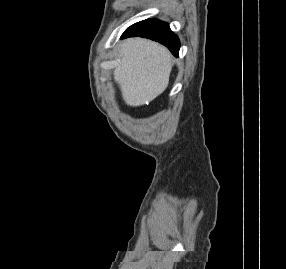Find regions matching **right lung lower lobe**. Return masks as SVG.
Wrapping results in <instances>:
<instances>
[{
    "mask_svg": "<svg viewBox=\"0 0 286 269\" xmlns=\"http://www.w3.org/2000/svg\"><path fill=\"white\" fill-rule=\"evenodd\" d=\"M145 37L158 41L168 47L174 56H178L180 42L178 37L170 30L169 25L157 19L140 21L130 26L121 38Z\"/></svg>",
    "mask_w": 286,
    "mask_h": 269,
    "instance_id": "right-lung-lower-lobe-1",
    "label": "right lung lower lobe"
}]
</instances>
